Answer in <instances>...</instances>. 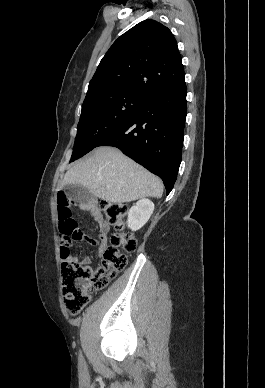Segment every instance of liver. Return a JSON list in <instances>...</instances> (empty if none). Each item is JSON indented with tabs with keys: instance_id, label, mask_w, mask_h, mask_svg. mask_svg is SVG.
<instances>
[{
	"instance_id": "liver-1",
	"label": "liver",
	"mask_w": 265,
	"mask_h": 388,
	"mask_svg": "<svg viewBox=\"0 0 265 388\" xmlns=\"http://www.w3.org/2000/svg\"><path fill=\"white\" fill-rule=\"evenodd\" d=\"M67 184H79L97 198L115 204L148 196L161 198L163 194V184L157 176L110 146H101L89 160L76 162L60 186Z\"/></svg>"
}]
</instances>
